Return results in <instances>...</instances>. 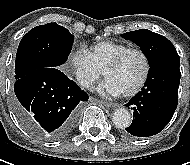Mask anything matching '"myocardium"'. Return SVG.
<instances>
[{"label":"myocardium","mask_w":190,"mask_h":165,"mask_svg":"<svg viewBox=\"0 0 190 165\" xmlns=\"http://www.w3.org/2000/svg\"><path fill=\"white\" fill-rule=\"evenodd\" d=\"M133 53L139 54L142 57V59L144 61V71H143V74H142L140 80L137 82V84L135 86H133L129 90L122 92V95H124V96H131V95L136 94L145 85V83L149 77L150 69H151V63H150V59H149V56L147 55V53L140 48H129V49L123 51L122 53H120L119 55H117L115 58H113L105 66V68L103 70V74L106 77V74L109 70L117 68L126 59L127 56H129L130 54H133Z\"/></svg>","instance_id":"myocardium-1"}]
</instances>
